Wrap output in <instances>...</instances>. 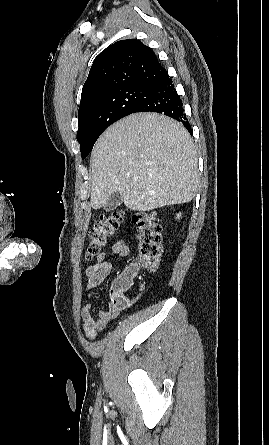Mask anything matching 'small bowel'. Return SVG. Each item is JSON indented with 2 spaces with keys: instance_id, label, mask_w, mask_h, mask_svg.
Returning <instances> with one entry per match:
<instances>
[{
  "instance_id": "small-bowel-1",
  "label": "small bowel",
  "mask_w": 269,
  "mask_h": 445,
  "mask_svg": "<svg viewBox=\"0 0 269 445\" xmlns=\"http://www.w3.org/2000/svg\"><path fill=\"white\" fill-rule=\"evenodd\" d=\"M130 253L129 246L122 240L117 241L111 249V254L119 257H127ZM112 271V264L108 261V254L101 252L97 255L96 263L90 265L85 270L87 284L85 291L87 293L88 303L83 307L81 316L83 319V331L89 340H94L98 332L105 329L107 324L116 319L120 312L131 305V300L123 294L122 302L117 301L116 294L111 289V297L106 309H97L95 306V290L101 286L103 281ZM126 271H132L136 274L137 269L134 265L126 268Z\"/></svg>"
}]
</instances>
